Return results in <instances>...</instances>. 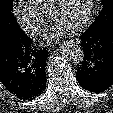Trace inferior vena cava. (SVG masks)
Wrapping results in <instances>:
<instances>
[{
	"label": "inferior vena cava",
	"instance_id": "inferior-vena-cava-1",
	"mask_svg": "<svg viewBox=\"0 0 113 113\" xmlns=\"http://www.w3.org/2000/svg\"><path fill=\"white\" fill-rule=\"evenodd\" d=\"M40 31V26L38 25H34L30 30H29V33L30 35H36L38 34Z\"/></svg>",
	"mask_w": 113,
	"mask_h": 113
}]
</instances>
